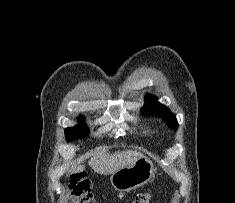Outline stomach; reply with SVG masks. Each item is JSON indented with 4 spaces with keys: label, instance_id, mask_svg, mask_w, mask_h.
I'll list each match as a JSON object with an SVG mask.
<instances>
[{
    "label": "stomach",
    "instance_id": "1",
    "mask_svg": "<svg viewBox=\"0 0 235 203\" xmlns=\"http://www.w3.org/2000/svg\"><path fill=\"white\" fill-rule=\"evenodd\" d=\"M153 174V163L148 158L141 156L134 164L112 173L110 182L116 190L128 192L146 184Z\"/></svg>",
    "mask_w": 235,
    "mask_h": 203
}]
</instances>
